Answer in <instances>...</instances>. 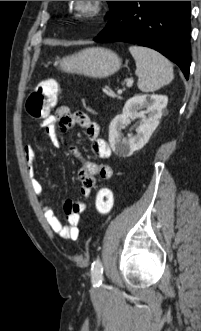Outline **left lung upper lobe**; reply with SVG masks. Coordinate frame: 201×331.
I'll list each match as a JSON object with an SVG mask.
<instances>
[{"label": "left lung upper lobe", "mask_w": 201, "mask_h": 331, "mask_svg": "<svg viewBox=\"0 0 201 331\" xmlns=\"http://www.w3.org/2000/svg\"><path fill=\"white\" fill-rule=\"evenodd\" d=\"M110 5V13L105 17V19H108L114 15V13L117 11L121 1H108Z\"/></svg>", "instance_id": "5c2ea615"}]
</instances>
